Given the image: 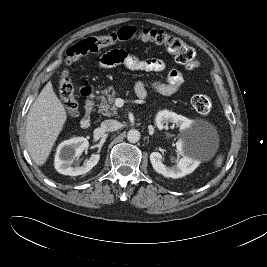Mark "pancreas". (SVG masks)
I'll list each match as a JSON object with an SVG mask.
<instances>
[{
  "instance_id": "obj_1",
  "label": "pancreas",
  "mask_w": 267,
  "mask_h": 267,
  "mask_svg": "<svg viewBox=\"0 0 267 267\" xmlns=\"http://www.w3.org/2000/svg\"><path fill=\"white\" fill-rule=\"evenodd\" d=\"M103 95L99 96L100 104L98 105V112L104 116H112L117 114V109L114 105V101L116 99V91L113 87H108L103 90Z\"/></svg>"
}]
</instances>
